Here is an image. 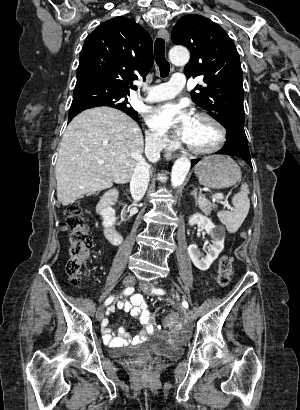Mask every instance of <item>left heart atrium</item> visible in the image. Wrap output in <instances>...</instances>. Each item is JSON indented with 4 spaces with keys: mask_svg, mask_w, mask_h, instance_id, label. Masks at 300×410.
Returning <instances> with one entry per match:
<instances>
[{
    "mask_svg": "<svg viewBox=\"0 0 300 410\" xmlns=\"http://www.w3.org/2000/svg\"><path fill=\"white\" fill-rule=\"evenodd\" d=\"M195 117L185 104L166 103L152 110L149 124L160 132L175 130L176 135L187 142Z\"/></svg>",
    "mask_w": 300,
    "mask_h": 410,
    "instance_id": "obj_1",
    "label": "left heart atrium"
}]
</instances>
